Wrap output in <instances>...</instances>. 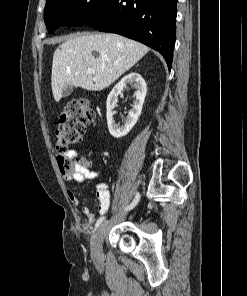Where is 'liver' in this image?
<instances>
[{
	"label": "liver",
	"mask_w": 247,
	"mask_h": 296,
	"mask_svg": "<svg viewBox=\"0 0 247 296\" xmlns=\"http://www.w3.org/2000/svg\"><path fill=\"white\" fill-rule=\"evenodd\" d=\"M148 51L144 44L114 33L66 38L53 55L51 85L55 101H60L68 85L88 91L105 89ZM88 68L95 73H88Z\"/></svg>",
	"instance_id": "1"
}]
</instances>
